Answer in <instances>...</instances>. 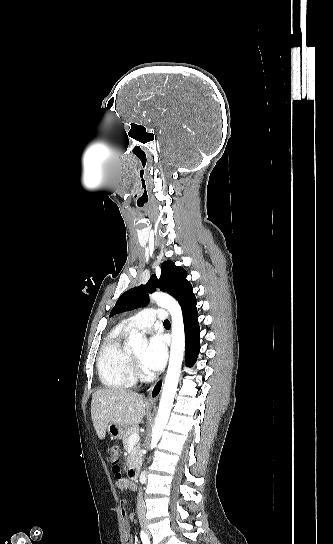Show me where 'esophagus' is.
Returning a JSON list of instances; mask_svg holds the SVG:
<instances>
[{
    "label": "esophagus",
    "mask_w": 333,
    "mask_h": 544,
    "mask_svg": "<svg viewBox=\"0 0 333 544\" xmlns=\"http://www.w3.org/2000/svg\"><path fill=\"white\" fill-rule=\"evenodd\" d=\"M163 383H164V378L162 379H159L157 380L150 388L149 390V393H148V397H147V402L149 404H155L156 401L158 400L161 392H162V388H163Z\"/></svg>",
    "instance_id": "1"
}]
</instances>
